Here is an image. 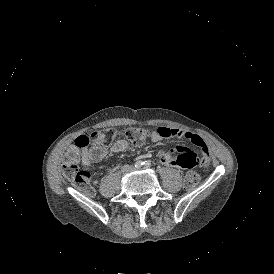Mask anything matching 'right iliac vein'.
Returning a JSON list of instances; mask_svg holds the SVG:
<instances>
[{
	"mask_svg": "<svg viewBox=\"0 0 274 274\" xmlns=\"http://www.w3.org/2000/svg\"><path fill=\"white\" fill-rule=\"evenodd\" d=\"M129 170H130V167L125 166V167L122 168L121 171H122L123 174H125V173H127Z\"/></svg>",
	"mask_w": 274,
	"mask_h": 274,
	"instance_id": "63e3f726",
	"label": "right iliac vein"
}]
</instances>
